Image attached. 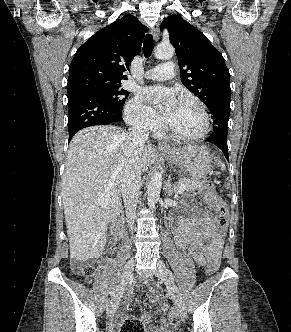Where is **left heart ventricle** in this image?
Listing matches in <instances>:
<instances>
[{
  "label": "left heart ventricle",
  "mask_w": 291,
  "mask_h": 332,
  "mask_svg": "<svg viewBox=\"0 0 291 332\" xmlns=\"http://www.w3.org/2000/svg\"><path fill=\"white\" fill-rule=\"evenodd\" d=\"M167 124L179 133L193 135L203 129L204 120L194 103L178 100L170 112Z\"/></svg>",
  "instance_id": "b2bd125f"
}]
</instances>
